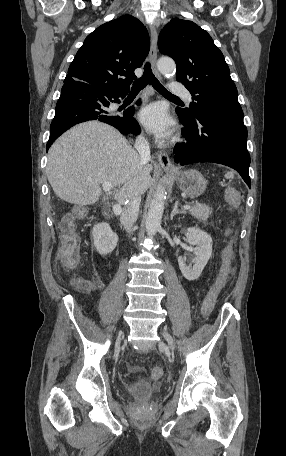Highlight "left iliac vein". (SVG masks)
Returning a JSON list of instances; mask_svg holds the SVG:
<instances>
[{
	"label": "left iliac vein",
	"mask_w": 286,
	"mask_h": 456,
	"mask_svg": "<svg viewBox=\"0 0 286 456\" xmlns=\"http://www.w3.org/2000/svg\"><path fill=\"white\" fill-rule=\"evenodd\" d=\"M162 335L166 339V341L168 342L170 348L174 349V341H173V338L170 336V334L167 331L164 330L162 332Z\"/></svg>",
	"instance_id": "4c4485c4"
}]
</instances>
